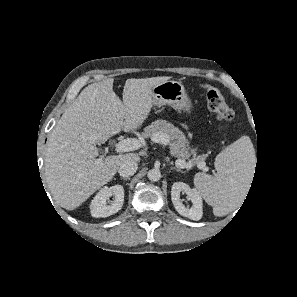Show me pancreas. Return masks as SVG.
I'll return each mask as SVG.
<instances>
[{"label":"pancreas","instance_id":"cf45deb5","mask_svg":"<svg viewBox=\"0 0 297 297\" xmlns=\"http://www.w3.org/2000/svg\"><path fill=\"white\" fill-rule=\"evenodd\" d=\"M155 133H163L168 136L171 142V154L175 157H181L182 159H188L191 155H196V150H189V141L184 133L172 123L166 120H156L151 125L144 128L143 135L145 138L153 137ZM205 160L204 157L200 156L190 162L193 165H199ZM205 170V168H203Z\"/></svg>","mask_w":297,"mask_h":297}]
</instances>
